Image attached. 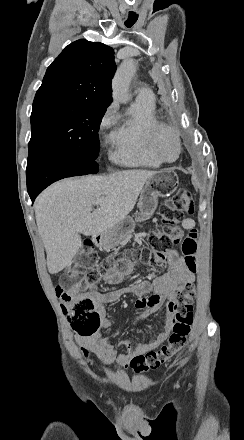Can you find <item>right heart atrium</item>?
I'll list each match as a JSON object with an SVG mask.
<instances>
[{
  "instance_id": "1",
  "label": "right heart atrium",
  "mask_w": 244,
  "mask_h": 440,
  "mask_svg": "<svg viewBox=\"0 0 244 440\" xmlns=\"http://www.w3.org/2000/svg\"><path fill=\"white\" fill-rule=\"evenodd\" d=\"M117 121V105L115 102L111 103L103 112L99 120V130L107 132L112 128Z\"/></svg>"
}]
</instances>
